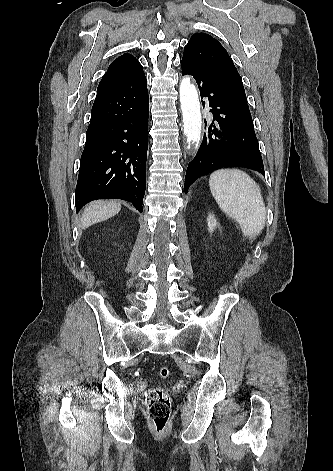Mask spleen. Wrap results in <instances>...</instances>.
<instances>
[{
	"instance_id": "1",
	"label": "spleen",
	"mask_w": 333,
	"mask_h": 471,
	"mask_svg": "<svg viewBox=\"0 0 333 471\" xmlns=\"http://www.w3.org/2000/svg\"><path fill=\"white\" fill-rule=\"evenodd\" d=\"M211 193L220 209L237 221L244 236L254 239L263 230L266 208L256 182L239 169H220L209 179Z\"/></svg>"
}]
</instances>
